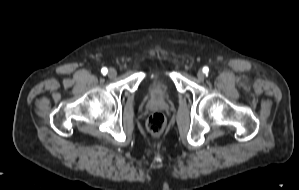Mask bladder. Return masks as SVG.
Returning a JSON list of instances; mask_svg holds the SVG:
<instances>
[{
  "label": "bladder",
  "instance_id": "1",
  "mask_svg": "<svg viewBox=\"0 0 299 190\" xmlns=\"http://www.w3.org/2000/svg\"><path fill=\"white\" fill-rule=\"evenodd\" d=\"M147 78V88L150 92H156L158 90H163L168 87L171 80L169 72L160 70L152 71L146 75Z\"/></svg>",
  "mask_w": 299,
  "mask_h": 190
}]
</instances>
